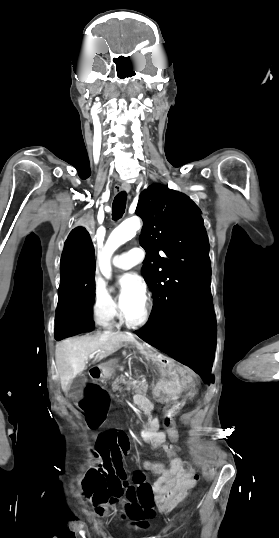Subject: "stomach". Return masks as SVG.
Segmentation results:
<instances>
[{"mask_svg": "<svg viewBox=\"0 0 279 538\" xmlns=\"http://www.w3.org/2000/svg\"><path fill=\"white\" fill-rule=\"evenodd\" d=\"M152 364H166L163 366L162 374L156 380L152 393H155L157 400H163V405L168 407L172 401L179 397L193 395L191 380L189 377L190 371L185 367L184 363H174L173 360H168L166 353H152L150 357ZM168 360V361H167ZM174 378V380L170 379Z\"/></svg>", "mask_w": 279, "mask_h": 538, "instance_id": "stomach-1", "label": "stomach"}]
</instances>
